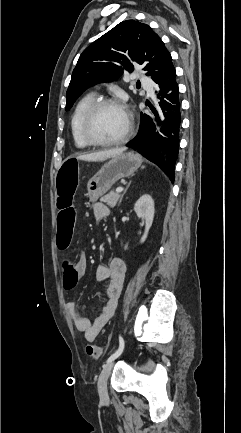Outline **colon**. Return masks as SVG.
Masks as SVG:
<instances>
[{"label":"colon","mask_w":241,"mask_h":433,"mask_svg":"<svg viewBox=\"0 0 241 433\" xmlns=\"http://www.w3.org/2000/svg\"><path fill=\"white\" fill-rule=\"evenodd\" d=\"M81 160L79 157H63L60 161V168L56 173V206L59 217L56 218L58 228L57 246L61 250H67L71 236L75 233V223L79 216V207H72L74 195L77 188L78 169ZM64 283L67 288H72L77 281L78 273L68 260L63 263ZM86 354L92 359H99L102 356V348L95 345H87Z\"/></svg>","instance_id":"colon-1"}]
</instances>
